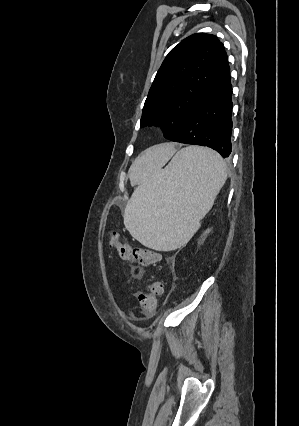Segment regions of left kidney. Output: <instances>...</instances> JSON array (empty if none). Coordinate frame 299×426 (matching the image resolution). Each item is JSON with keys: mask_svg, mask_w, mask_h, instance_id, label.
I'll list each match as a JSON object with an SVG mask.
<instances>
[{"mask_svg": "<svg viewBox=\"0 0 299 426\" xmlns=\"http://www.w3.org/2000/svg\"><path fill=\"white\" fill-rule=\"evenodd\" d=\"M210 232V229H207L204 233V236H206Z\"/></svg>", "mask_w": 299, "mask_h": 426, "instance_id": "1", "label": "left kidney"}]
</instances>
